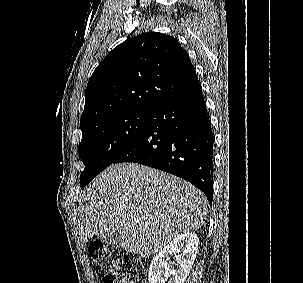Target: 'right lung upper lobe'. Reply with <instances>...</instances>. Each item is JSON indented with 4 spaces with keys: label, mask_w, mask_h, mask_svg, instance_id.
Returning <instances> with one entry per match:
<instances>
[{
    "label": "right lung upper lobe",
    "mask_w": 303,
    "mask_h": 283,
    "mask_svg": "<svg viewBox=\"0 0 303 283\" xmlns=\"http://www.w3.org/2000/svg\"><path fill=\"white\" fill-rule=\"evenodd\" d=\"M198 84L177 39L157 32L137 35L118 45L94 70L85 91L81 130L127 111L155 112Z\"/></svg>",
    "instance_id": "right-lung-upper-lobe-1"
}]
</instances>
